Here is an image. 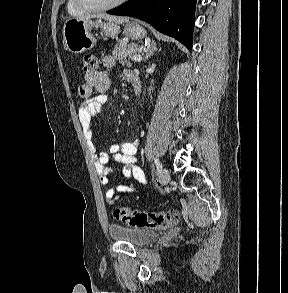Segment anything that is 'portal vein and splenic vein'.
<instances>
[{
    "label": "portal vein and splenic vein",
    "instance_id": "obj_1",
    "mask_svg": "<svg viewBox=\"0 0 288 293\" xmlns=\"http://www.w3.org/2000/svg\"><path fill=\"white\" fill-rule=\"evenodd\" d=\"M133 60H134L135 62H141V61H142V57H141L140 55H135V56L133 57Z\"/></svg>",
    "mask_w": 288,
    "mask_h": 293
}]
</instances>
